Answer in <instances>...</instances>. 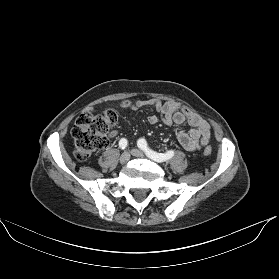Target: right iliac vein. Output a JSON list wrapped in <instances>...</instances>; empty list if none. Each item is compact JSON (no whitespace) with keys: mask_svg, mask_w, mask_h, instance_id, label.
<instances>
[{"mask_svg":"<svg viewBox=\"0 0 279 279\" xmlns=\"http://www.w3.org/2000/svg\"><path fill=\"white\" fill-rule=\"evenodd\" d=\"M129 160H130V153L129 152H124L120 157V163L121 164H126Z\"/></svg>","mask_w":279,"mask_h":279,"instance_id":"1","label":"right iliac vein"}]
</instances>
